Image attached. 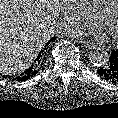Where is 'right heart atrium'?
Returning a JSON list of instances; mask_svg holds the SVG:
<instances>
[{
    "mask_svg": "<svg viewBox=\"0 0 118 118\" xmlns=\"http://www.w3.org/2000/svg\"><path fill=\"white\" fill-rule=\"evenodd\" d=\"M74 5L71 6L69 20L73 27L78 28L82 25H88L92 19L83 11L82 7L77 1L71 0Z\"/></svg>",
    "mask_w": 118,
    "mask_h": 118,
    "instance_id": "right-heart-atrium-1",
    "label": "right heart atrium"
}]
</instances>
